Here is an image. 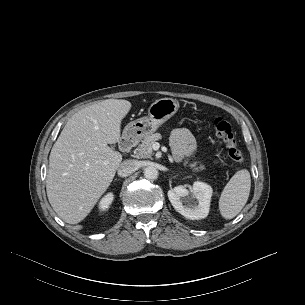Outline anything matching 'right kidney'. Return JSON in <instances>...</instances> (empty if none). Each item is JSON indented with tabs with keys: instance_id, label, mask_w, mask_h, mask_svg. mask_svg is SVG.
<instances>
[{
	"instance_id": "right-kidney-1",
	"label": "right kidney",
	"mask_w": 305,
	"mask_h": 305,
	"mask_svg": "<svg viewBox=\"0 0 305 305\" xmlns=\"http://www.w3.org/2000/svg\"><path fill=\"white\" fill-rule=\"evenodd\" d=\"M114 199V195L112 193H108L105 195L99 203V209L104 211L108 209Z\"/></svg>"
}]
</instances>
